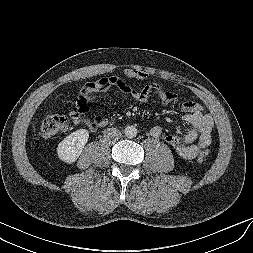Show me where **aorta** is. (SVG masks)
<instances>
[{"label": "aorta", "mask_w": 253, "mask_h": 253, "mask_svg": "<svg viewBox=\"0 0 253 253\" xmlns=\"http://www.w3.org/2000/svg\"><path fill=\"white\" fill-rule=\"evenodd\" d=\"M124 134L127 138H134L137 135V128L133 125L126 126Z\"/></svg>", "instance_id": "obj_1"}]
</instances>
